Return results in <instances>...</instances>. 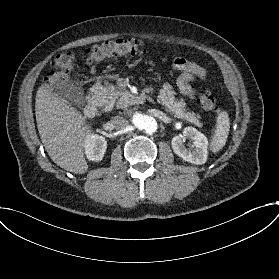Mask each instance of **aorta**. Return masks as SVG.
Instances as JSON below:
<instances>
[{
	"label": "aorta",
	"mask_w": 279,
	"mask_h": 279,
	"mask_svg": "<svg viewBox=\"0 0 279 279\" xmlns=\"http://www.w3.org/2000/svg\"><path fill=\"white\" fill-rule=\"evenodd\" d=\"M133 124L145 133L152 134L157 130L156 120L148 115L135 112L132 118Z\"/></svg>",
	"instance_id": "762f6f07"
}]
</instances>
